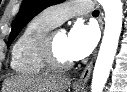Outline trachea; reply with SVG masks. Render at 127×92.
I'll list each match as a JSON object with an SVG mask.
<instances>
[{"instance_id": "3493384b", "label": "trachea", "mask_w": 127, "mask_h": 92, "mask_svg": "<svg viewBox=\"0 0 127 92\" xmlns=\"http://www.w3.org/2000/svg\"><path fill=\"white\" fill-rule=\"evenodd\" d=\"M92 14H93V15H99V10H94V11L92 12Z\"/></svg>"}]
</instances>
